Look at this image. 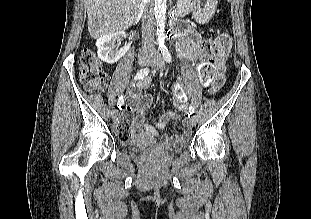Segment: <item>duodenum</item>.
<instances>
[{"label":"duodenum","mask_w":311,"mask_h":219,"mask_svg":"<svg viewBox=\"0 0 311 219\" xmlns=\"http://www.w3.org/2000/svg\"><path fill=\"white\" fill-rule=\"evenodd\" d=\"M184 29V25L173 21L170 25V31L172 36H175L177 33L181 32Z\"/></svg>","instance_id":"410a0bca"}]
</instances>
